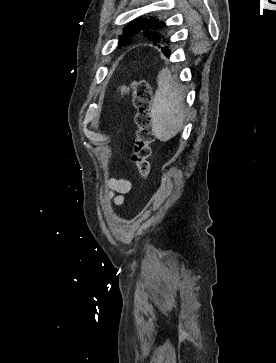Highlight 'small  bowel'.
I'll return each mask as SVG.
<instances>
[{"instance_id":"1","label":"small bowel","mask_w":276,"mask_h":363,"mask_svg":"<svg viewBox=\"0 0 276 363\" xmlns=\"http://www.w3.org/2000/svg\"><path fill=\"white\" fill-rule=\"evenodd\" d=\"M107 188L109 198H111L116 205H121L124 203L123 195L131 191L132 183L128 179L110 178L107 182Z\"/></svg>"}]
</instances>
